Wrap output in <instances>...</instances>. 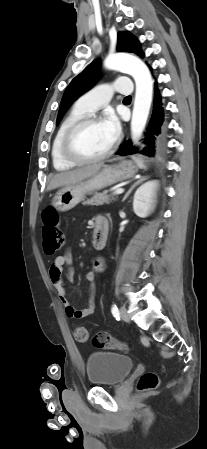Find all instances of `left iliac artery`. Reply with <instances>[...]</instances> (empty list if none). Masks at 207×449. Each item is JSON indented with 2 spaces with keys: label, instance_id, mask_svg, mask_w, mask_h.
<instances>
[{
  "label": "left iliac artery",
  "instance_id": "left-iliac-artery-1",
  "mask_svg": "<svg viewBox=\"0 0 207 449\" xmlns=\"http://www.w3.org/2000/svg\"><path fill=\"white\" fill-rule=\"evenodd\" d=\"M111 312H112L113 316H114L117 320H119L120 314H119V309H118V307H117L116 305H112Z\"/></svg>",
  "mask_w": 207,
  "mask_h": 449
}]
</instances>
